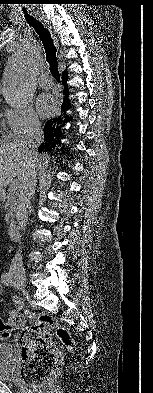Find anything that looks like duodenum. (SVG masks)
Segmentation results:
<instances>
[{
	"instance_id": "1",
	"label": "duodenum",
	"mask_w": 153,
	"mask_h": 393,
	"mask_svg": "<svg viewBox=\"0 0 153 393\" xmlns=\"http://www.w3.org/2000/svg\"><path fill=\"white\" fill-rule=\"evenodd\" d=\"M8 235L11 239H17L19 235V226L18 223L12 221L8 227Z\"/></svg>"
}]
</instances>
